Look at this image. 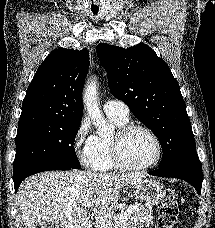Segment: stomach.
<instances>
[{"label":"stomach","instance_id":"1","mask_svg":"<svg viewBox=\"0 0 215 228\" xmlns=\"http://www.w3.org/2000/svg\"><path fill=\"white\" fill-rule=\"evenodd\" d=\"M133 188V194L137 200L140 202H147L151 206H157L162 202L163 198L166 196V188L159 180H140V182H135L131 184Z\"/></svg>","mask_w":215,"mask_h":228}]
</instances>
